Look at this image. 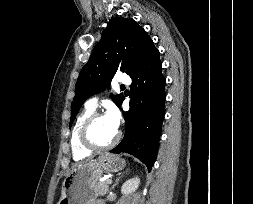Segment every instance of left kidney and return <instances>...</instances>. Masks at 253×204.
Instances as JSON below:
<instances>
[{
    "label": "left kidney",
    "instance_id": "1",
    "mask_svg": "<svg viewBox=\"0 0 253 204\" xmlns=\"http://www.w3.org/2000/svg\"><path fill=\"white\" fill-rule=\"evenodd\" d=\"M140 179L138 177L131 178L127 180L121 187V193L123 195L131 194L132 192L136 191L139 187Z\"/></svg>",
    "mask_w": 253,
    "mask_h": 204
}]
</instances>
